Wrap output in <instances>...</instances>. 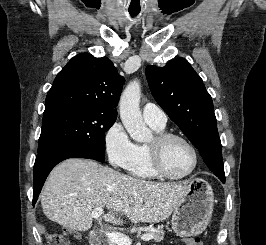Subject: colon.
<instances>
[{"mask_svg":"<svg viewBox=\"0 0 266 245\" xmlns=\"http://www.w3.org/2000/svg\"><path fill=\"white\" fill-rule=\"evenodd\" d=\"M47 241L49 245H69L68 240L63 234L58 233H48L47 234ZM195 245H199V239L195 238Z\"/></svg>","mask_w":266,"mask_h":245,"instance_id":"obj_1","label":"colon"}]
</instances>
